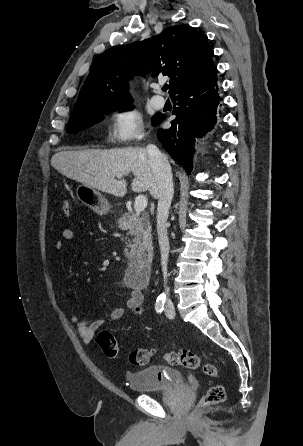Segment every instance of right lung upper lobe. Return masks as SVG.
I'll list each match as a JSON object with an SVG mask.
<instances>
[{"mask_svg":"<svg viewBox=\"0 0 303 446\" xmlns=\"http://www.w3.org/2000/svg\"><path fill=\"white\" fill-rule=\"evenodd\" d=\"M207 36L188 25L171 26L160 35L105 51L91 69L82 87L73 115L102 106L132 102L128 81L148 70L170 77L169 93L216 76Z\"/></svg>","mask_w":303,"mask_h":446,"instance_id":"1","label":"right lung upper lobe"}]
</instances>
